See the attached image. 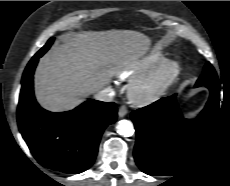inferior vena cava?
I'll use <instances>...</instances> for the list:
<instances>
[{
  "label": "inferior vena cava",
  "mask_w": 230,
  "mask_h": 186,
  "mask_svg": "<svg viewBox=\"0 0 230 186\" xmlns=\"http://www.w3.org/2000/svg\"><path fill=\"white\" fill-rule=\"evenodd\" d=\"M115 91L111 87L104 88L95 94V99L103 102L112 101Z\"/></svg>",
  "instance_id": "602c4592"
}]
</instances>
